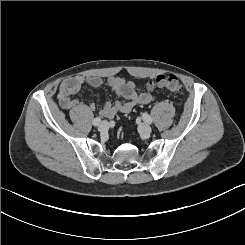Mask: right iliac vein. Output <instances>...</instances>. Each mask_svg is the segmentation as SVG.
I'll return each instance as SVG.
<instances>
[{"label": "right iliac vein", "mask_w": 245, "mask_h": 245, "mask_svg": "<svg viewBox=\"0 0 245 245\" xmlns=\"http://www.w3.org/2000/svg\"><path fill=\"white\" fill-rule=\"evenodd\" d=\"M108 128H109L108 122L107 121H102L99 124L98 130L101 131V132H103V131H106Z\"/></svg>", "instance_id": "obj_1"}]
</instances>
